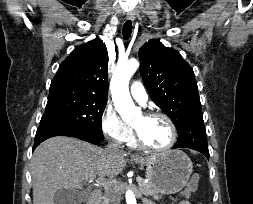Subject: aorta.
I'll list each match as a JSON object with an SVG mask.
<instances>
[{
  "mask_svg": "<svg viewBox=\"0 0 253 204\" xmlns=\"http://www.w3.org/2000/svg\"><path fill=\"white\" fill-rule=\"evenodd\" d=\"M138 67L139 62L136 59L118 63L110 82L112 100L117 112L125 122H130L141 114L140 109L135 107L129 93V80ZM126 202L127 204H136V198L131 190L126 192Z\"/></svg>",
  "mask_w": 253,
  "mask_h": 204,
  "instance_id": "762f6f07",
  "label": "aorta"
}]
</instances>
